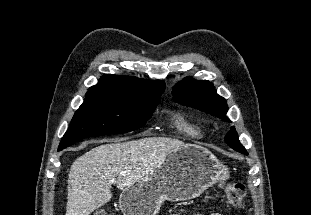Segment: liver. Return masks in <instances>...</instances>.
<instances>
[{"label": "liver", "instance_id": "liver-1", "mask_svg": "<svg viewBox=\"0 0 311 215\" xmlns=\"http://www.w3.org/2000/svg\"><path fill=\"white\" fill-rule=\"evenodd\" d=\"M184 145L178 139L149 137L92 148L71 165L66 215H89L110 201L115 178L119 190L128 189Z\"/></svg>", "mask_w": 311, "mask_h": 215}]
</instances>
